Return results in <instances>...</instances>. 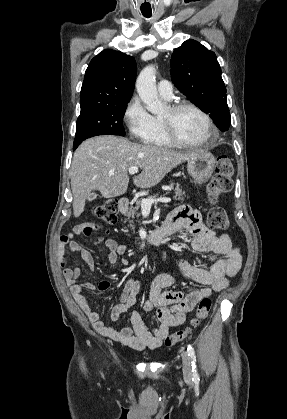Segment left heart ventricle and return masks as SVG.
Here are the masks:
<instances>
[{"mask_svg": "<svg viewBox=\"0 0 287 419\" xmlns=\"http://www.w3.org/2000/svg\"><path fill=\"white\" fill-rule=\"evenodd\" d=\"M161 119L171 122L176 134L188 142L202 141L209 134L204 119L191 109L173 112L169 107L161 116Z\"/></svg>", "mask_w": 287, "mask_h": 419, "instance_id": "1", "label": "left heart ventricle"}]
</instances>
